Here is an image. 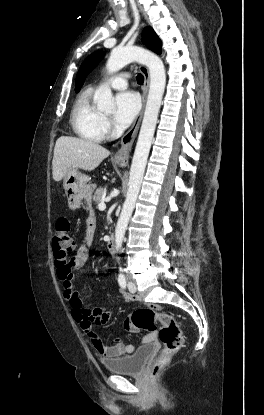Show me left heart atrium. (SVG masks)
Listing matches in <instances>:
<instances>
[{"mask_svg": "<svg viewBox=\"0 0 264 415\" xmlns=\"http://www.w3.org/2000/svg\"><path fill=\"white\" fill-rule=\"evenodd\" d=\"M116 108L113 114L114 122L119 127L128 126L139 110V99L131 91L121 92L115 99Z\"/></svg>", "mask_w": 264, "mask_h": 415, "instance_id": "1", "label": "left heart atrium"}]
</instances>
